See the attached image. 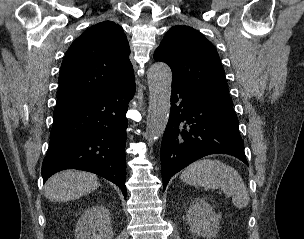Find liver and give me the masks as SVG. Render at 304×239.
I'll return each instance as SVG.
<instances>
[{
	"label": "liver",
	"instance_id": "obj_1",
	"mask_svg": "<svg viewBox=\"0 0 304 239\" xmlns=\"http://www.w3.org/2000/svg\"><path fill=\"white\" fill-rule=\"evenodd\" d=\"M99 185L95 174L65 170L51 176L45 183L44 191L50 201L65 202L87 195Z\"/></svg>",
	"mask_w": 304,
	"mask_h": 239
}]
</instances>
